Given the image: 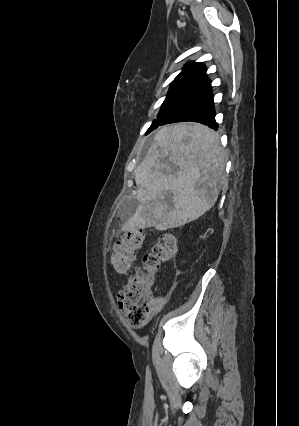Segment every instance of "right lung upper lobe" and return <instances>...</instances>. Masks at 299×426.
Segmentation results:
<instances>
[{"label": "right lung upper lobe", "mask_w": 299, "mask_h": 426, "mask_svg": "<svg viewBox=\"0 0 299 426\" xmlns=\"http://www.w3.org/2000/svg\"><path fill=\"white\" fill-rule=\"evenodd\" d=\"M206 68L202 63H189L175 78L171 85H187L200 87L210 83L205 74Z\"/></svg>", "instance_id": "cb5924a9"}]
</instances>
